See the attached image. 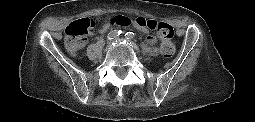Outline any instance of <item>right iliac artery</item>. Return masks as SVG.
Returning a JSON list of instances; mask_svg holds the SVG:
<instances>
[{
  "label": "right iliac artery",
  "instance_id": "obj_1",
  "mask_svg": "<svg viewBox=\"0 0 255 122\" xmlns=\"http://www.w3.org/2000/svg\"><path fill=\"white\" fill-rule=\"evenodd\" d=\"M121 34H123V31H121V30H114V31L109 32L107 38L109 40H112V39L116 38L117 36H119Z\"/></svg>",
  "mask_w": 255,
  "mask_h": 122
}]
</instances>
